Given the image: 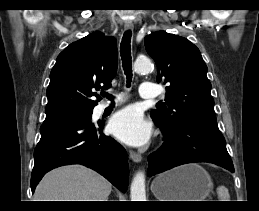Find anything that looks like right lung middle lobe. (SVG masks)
<instances>
[{
	"label": "right lung middle lobe",
	"instance_id": "dd1d6c3e",
	"mask_svg": "<svg viewBox=\"0 0 259 211\" xmlns=\"http://www.w3.org/2000/svg\"><path fill=\"white\" fill-rule=\"evenodd\" d=\"M91 116H92V112H88V113L72 116V118H76L80 120H91Z\"/></svg>",
	"mask_w": 259,
	"mask_h": 211
}]
</instances>
